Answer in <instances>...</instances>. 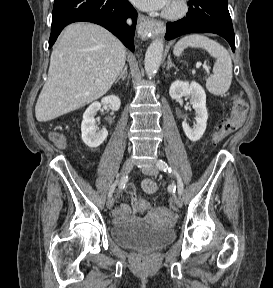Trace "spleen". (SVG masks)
I'll return each instance as SVG.
<instances>
[{"mask_svg": "<svg viewBox=\"0 0 273 288\" xmlns=\"http://www.w3.org/2000/svg\"><path fill=\"white\" fill-rule=\"evenodd\" d=\"M205 49L216 59L213 75L206 80V88L214 95L225 94L232 81V61L228 51L218 42L201 34H191L181 38L174 46L173 53L180 56L185 48Z\"/></svg>", "mask_w": 273, "mask_h": 288, "instance_id": "obj_1", "label": "spleen"}]
</instances>
